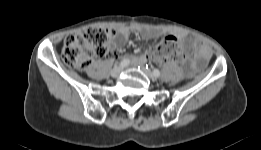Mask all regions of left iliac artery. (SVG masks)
Instances as JSON below:
<instances>
[{"instance_id":"obj_1","label":"left iliac artery","mask_w":261,"mask_h":150,"mask_svg":"<svg viewBox=\"0 0 261 150\" xmlns=\"http://www.w3.org/2000/svg\"><path fill=\"white\" fill-rule=\"evenodd\" d=\"M146 68L148 69V66L146 65ZM153 75L155 76V77H159L160 76V71L158 70V69H154L153 70Z\"/></svg>"}]
</instances>
